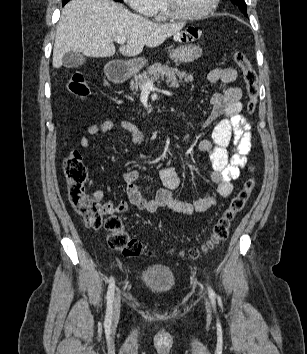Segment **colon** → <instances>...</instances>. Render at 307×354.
I'll list each match as a JSON object with an SVG mask.
<instances>
[{
    "label": "colon",
    "instance_id": "1",
    "mask_svg": "<svg viewBox=\"0 0 307 354\" xmlns=\"http://www.w3.org/2000/svg\"><path fill=\"white\" fill-rule=\"evenodd\" d=\"M234 60L243 74V81L247 94V110L250 114L256 109L258 97L257 73L251 65L245 53L237 51L234 53ZM71 94L78 98H87L90 94V87L87 78L81 73H75L67 83ZM63 170L68 182V198L71 206L78 215L82 217L85 224L91 228L104 227L108 232L107 243L109 247L120 251L126 257H136L144 252L143 245L137 239L131 238L125 231L123 221L115 215H108L106 207L87 193L85 184L87 181V170L81 154L74 150L65 158ZM253 171V168H251ZM255 186L253 177L247 178L241 189L232 198L228 207L214 224L209 238L202 251H207L214 246L224 242L229 235L231 223L237 213L242 211L247 203ZM197 248L191 249L188 254L192 258L200 255Z\"/></svg>",
    "mask_w": 307,
    "mask_h": 354
}]
</instances>
